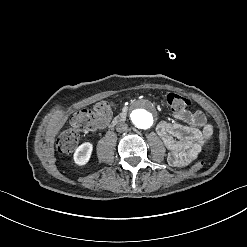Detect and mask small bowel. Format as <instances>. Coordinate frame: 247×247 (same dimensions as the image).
<instances>
[{"mask_svg":"<svg viewBox=\"0 0 247 247\" xmlns=\"http://www.w3.org/2000/svg\"><path fill=\"white\" fill-rule=\"evenodd\" d=\"M175 114L190 126L162 121L156 131L169 151L168 163L172 167L182 168L193 162L203 151L210 137L206 135L205 129L211 126L206 123V117L201 111L179 110Z\"/></svg>","mask_w":247,"mask_h":247,"instance_id":"obj_1","label":"small bowel"}]
</instances>
